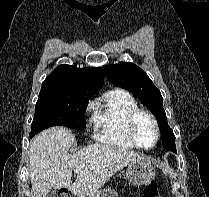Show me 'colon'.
Listing matches in <instances>:
<instances>
[{
  "label": "colon",
  "instance_id": "colon-1",
  "mask_svg": "<svg viewBox=\"0 0 209 197\" xmlns=\"http://www.w3.org/2000/svg\"><path fill=\"white\" fill-rule=\"evenodd\" d=\"M144 197H161L158 185L155 181H151L145 185L143 189ZM57 197H71L67 191H61L58 193Z\"/></svg>",
  "mask_w": 209,
  "mask_h": 197
}]
</instances>
